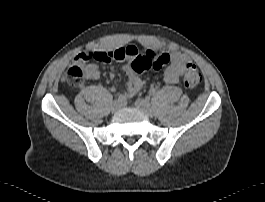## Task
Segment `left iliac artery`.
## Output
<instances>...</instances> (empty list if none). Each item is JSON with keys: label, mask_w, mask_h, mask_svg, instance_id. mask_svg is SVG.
I'll list each match as a JSON object with an SVG mask.
<instances>
[{"label": "left iliac artery", "mask_w": 265, "mask_h": 202, "mask_svg": "<svg viewBox=\"0 0 265 202\" xmlns=\"http://www.w3.org/2000/svg\"><path fill=\"white\" fill-rule=\"evenodd\" d=\"M155 94H156L155 89L152 88V89L149 90V95L150 96H154Z\"/></svg>", "instance_id": "left-iliac-artery-1"}]
</instances>
